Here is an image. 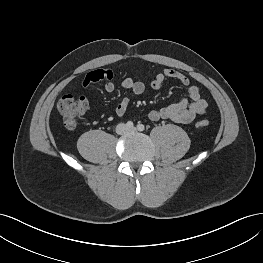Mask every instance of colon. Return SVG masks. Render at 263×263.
<instances>
[{
    "instance_id": "colon-1",
    "label": "colon",
    "mask_w": 263,
    "mask_h": 263,
    "mask_svg": "<svg viewBox=\"0 0 263 263\" xmlns=\"http://www.w3.org/2000/svg\"><path fill=\"white\" fill-rule=\"evenodd\" d=\"M57 108L65 126L74 129L87 109V101L82 96L66 93L59 99ZM207 126L208 122L205 120L197 123L200 129Z\"/></svg>"
}]
</instances>
